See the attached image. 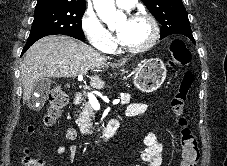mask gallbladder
<instances>
[{"instance_id":"bac80fb5","label":"gallbladder","mask_w":227,"mask_h":166,"mask_svg":"<svg viewBox=\"0 0 227 166\" xmlns=\"http://www.w3.org/2000/svg\"><path fill=\"white\" fill-rule=\"evenodd\" d=\"M52 83L53 81L49 78H41L34 83L31 96L27 100V105L30 109L37 110L43 106ZM36 103L39 106H36Z\"/></svg>"}]
</instances>
